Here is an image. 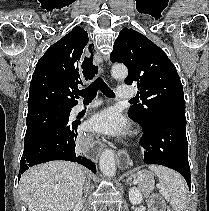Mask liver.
<instances>
[{
	"label": "liver",
	"mask_w": 209,
	"mask_h": 211,
	"mask_svg": "<svg viewBox=\"0 0 209 211\" xmlns=\"http://www.w3.org/2000/svg\"><path fill=\"white\" fill-rule=\"evenodd\" d=\"M86 176L68 161H50L28 169L20 194L28 211H70L81 202Z\"/></svg>",
	"instance_id": "liver-1"
}]
</instances>
